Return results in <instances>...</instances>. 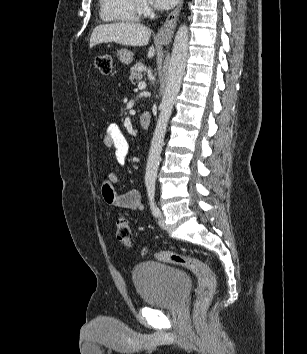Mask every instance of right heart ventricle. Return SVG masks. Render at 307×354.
<instances>
[{
    "label": "right heart ventricle",
    "mask_w": 307,
    "mask_h": 354,
    "mask_svg": "<svg viewBox=\"0 0 307 354\" xmlns=\"http://www.w3.org/2000/svg\"><path fill=\"white\" fill-rule=\"evenodd\" d=\"M100 16L108 22H136L141 12L137 0H100Z\"/></svg>",
    "instance_id": "1"
}]
</instances>
